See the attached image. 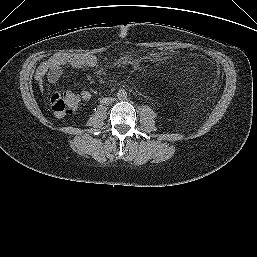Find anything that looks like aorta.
<instances>
[{
  "mask_svg": "<svg viewBox=\"0 0 257 257\" xmlns=\"http://www.w3.org/2000/svg\"><path fill=\"white\" fill-rule=\"evenodd\" d=\"M127 97H128V93H127V91H126L125 89H119V90H118V92H117V98H118L119 100L124 101V100L127 99Z\"/></svg>",
  "mask_w": 257,
  "mask_h": 257,
  "instance_id": "1",
  "label": "aorta"
}]
</instances>
